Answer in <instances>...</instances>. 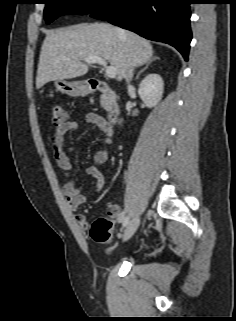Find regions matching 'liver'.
I'll return each instance as SVG.
<instances>
[{
  "label": "liver",
  "mask_w": 236,
  "mask_h": 321,
  "mask_svg": "<svg viewBox=\"0 0 236 321\" xmlns=\"http://www.w3.org/2000/svg\"><path fill=\"white\" fill-rule=\"evenodd\" d=\"M153 54L148 40L107 23H82L52 30L41 47L36 88L40 89L50 81L85 75L89 69L85 59L93 56L101 57L115 67L117 80L122 81L131 66H142L151 61Z\"/></svg>",
  "instance_id": "1"
}]
</instances>
